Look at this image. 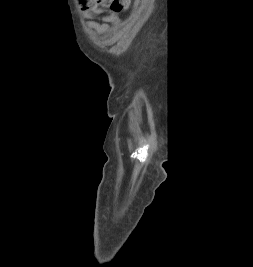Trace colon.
<instances>
[{
  "label": "colon",
  "instance_id": "5ec220e1",
  "mask_svg": "<svg viewBox=\"0 0 253 267\" xmlns=\"http://www.w3.org/2000/svg\"><path fill=\"white\" fill-rule=\"evenodd\" d=\"M130 0H78V6L85 11L93 10L98 6L121 11L127 8Z\"/></svg>",
  "mask_w": 253,
  "mask_h": 267
}]
</instances>
